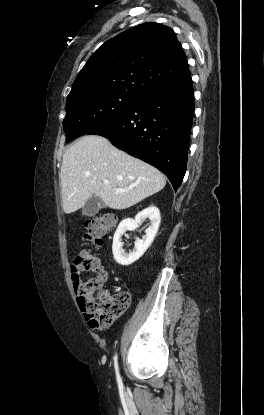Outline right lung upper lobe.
<instances>
[{
  "label": "right lung upper lobe",
  "instance_id": "obj_1",
  "mask_svg": "<svg viewBox=\"0 0 264 415\" xmlns=\"http://www.w3.org/2000/svg\"><path fill=\"white\" fill-rule=\"evenodd\" d=\"M190 75L174 31L147 22L105 42L79 72L67 100L113 91L142 97Z\"/></svg>",
  "mask_w": 264,
  "mask_h": 415
}]
</instances>
